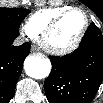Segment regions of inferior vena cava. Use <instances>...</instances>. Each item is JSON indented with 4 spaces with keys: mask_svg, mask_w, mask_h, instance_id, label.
<instances>
[{
    "mask_svg": "<svg viewBox=\"0 0 103 103\" xmlns=\"http://www.w3.org/2000/svg\"><path fill=\"white\" fill-rule=\"evenodd\" d=\"M20 44H22V39L17 38V39L15 40V45H20Z\"/></svg>",
    "mask_w": 103,
    "mask_h": 103,
    "instance_id": "inferior-vena-cava-1",
    "label": "inferior vena cava"
}]
</instances>
